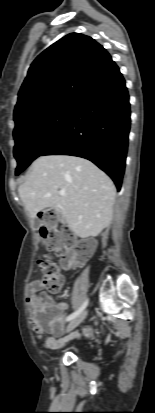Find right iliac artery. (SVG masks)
<instances>
[{"label":"right iliac artery","instance_id":"obj_1","mask_svg":"<svg viewBox=\"0 0 155 413\" xmlns=\"http://www.w3.org/2000/svg\"><path fill=\"white\" fill-rule=\"evenodd\" d=\"M87 305H88V299H86V300L84 301V303L82 304V306H81L77 311H75L74 313L70 314V315L66 318V321H71V320L74 319L76 316H78V315L86 308Z\"/></svg>","mask_w":155,"mask_h":413}]
</instances>
